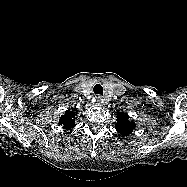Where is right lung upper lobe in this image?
<instances>
[{"label":"right lung upper lobe","mask_w":187,"mask_h":187,"mask_svg":"<svg viewBox=\"0 0 187 187\" xmlns=\"http://www.w3.org/2000/svg\"><path fill=\"white\" fill-rule=\"evenodd\" d=\"M59 124L63 125L64 129L73 128L75 126V112L65 111V114L59 120Z\"/></svg>","instance_id":"obj_1"}]
</instances>
